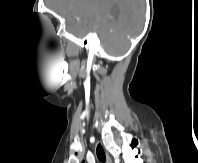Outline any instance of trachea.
Listing matches in <instances>:
<instances>
[{
  "instance_id": "obj_1",
  "label": "trachea",
  "mask_w": 198,
  "mask_h": 163,
  "mask_svg": "<svg viewBox=\"0 0 198 163\" xmlns=\"http://www.w3.org/2000/svg\"><path fill=\"white\" fill-rule=\"evenodd\" d=\"M96 153H97V157H98L99 161H101L102 163H105L106 155H105V152L100 144H98V146H97Z\"/></svg>"
}]
</instances>
